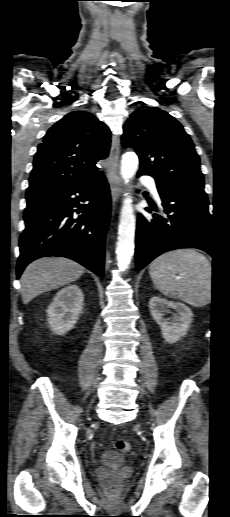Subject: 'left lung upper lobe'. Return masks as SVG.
<instances>
[{
	"instance_id": "1",
	"label": "left lung upper lobe",
	"mask_w": 230,
	"mask_h": 517,
	"mask_svg": "<svg viewBox=\"0 0 230 517\" xmlns=\"http://www.w3.org/2000/svg\"><path fill=\"white\" fill-rule=\"evenodd\" d=\"M122 145L140 160L139 173L174 189H204L200 159L182 125L157 107L134 111L123 127Z\"/></svg>"
}]
</instances>
